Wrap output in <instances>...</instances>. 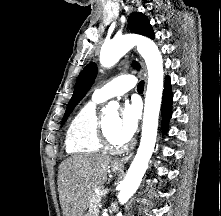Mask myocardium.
<instances>
[{
  "label": "myocardium",
  "instance_id": "f54148a6",
  "mask_svg": "<svg viewBox=\"0 0 221 216\" xmlns=\"http://www.w3.org/2000/svg\"><path fill=\"white\" fill-rule=\"evenodd\" d=\"M99 132H100V139H101L102 145L105 149L112 151V152H119V151L126 150L128 148L129 143L126 140L120 143H116L111 139L107 131L104 119L100 120Z\"/></svg>",
  "mask_w": 221,
  "mask_h": 216
}]
</instances>
